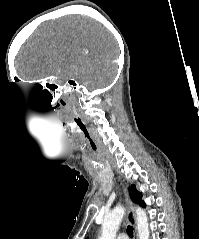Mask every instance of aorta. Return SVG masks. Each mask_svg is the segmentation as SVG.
Returning <instances> with one entry per match:
<instances>
[{
  "label": "aorta",
  "instance_id": "762f6f07",
  "mask_svg": "<svg viewBox=\"0 0 199 239\" xmlns=\"http://www.w3.org/2000/svg\"><path fill=\"white\" fill-rule=\"evenodd\" d=\"M124 214L125 209L121 206H116L107 214L102 223V233L99 239H115ZM136 215L139 239H149V223L146 212L137 208Z\"/></svg>",
  "mask_w": 199,
  "mask_h": 239
}]
</instances>
